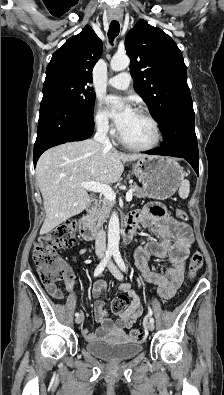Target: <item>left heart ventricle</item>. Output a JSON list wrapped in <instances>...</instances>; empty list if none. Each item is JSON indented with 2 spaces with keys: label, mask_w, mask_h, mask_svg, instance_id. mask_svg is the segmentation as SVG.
I'll use <instances>...</instances> for the list:
<instances>
[{
  "label": "left heart ventricle",
  "mask_w": 224,
  "mask_h": 395,
  "mask_svg": "<svg viewBox=\"0 0 224 395\" xmlns=\"http://www.w3.org/2000/svg\"><path fill=\"white\" fill-rule=\"evenodd\" d=\"M124 139L136 145H147L154 139L151 123L138 113H134L122 130Z\"/></svg>",
  "instance_id": "obj_1"
}]
</instances>
